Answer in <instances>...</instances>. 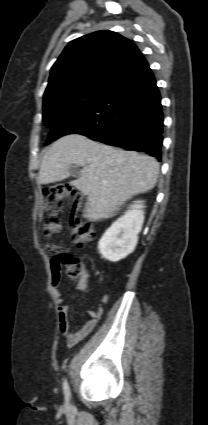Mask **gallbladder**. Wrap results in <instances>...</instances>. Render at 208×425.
<instances>
[{"mask_svg":"<svg viewBox=\"0 0 208 425\" xmlns=\"http://www.w3.org/2000/svg\"><path fill=\"white\" fill-rule=\"evenodd\" d=\"M68 172H69V175L73 177H79L80 175V170L76 166L69 167Z\"/></svg>","mask_w":208,"mask_h":425,"instance_id":"bac80fb5","label":"gallbladder"}]
</instances>
